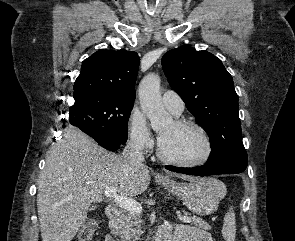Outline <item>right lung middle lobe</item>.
I'll use <instances>...</instances> for the list:
<instances>
[{
    "instance_id": "dd1d6c3e",
    "label": "right lung middle lobe",
    "mask_w": 295,
    "mask_h": 241,
    "mask_svg": "<svg viewBox=\"0 0 295 241\" xmlns=\"http://www.w3.org/2000/svg\"><path fill=\"white\" fill-rule=\"evenodd\" d=\"M133 100L92 96L75 101L68 123L94 139L123 144L128 137V120Z\"/></svg>"
}]
</instances>
